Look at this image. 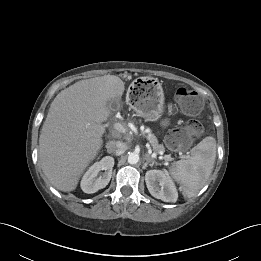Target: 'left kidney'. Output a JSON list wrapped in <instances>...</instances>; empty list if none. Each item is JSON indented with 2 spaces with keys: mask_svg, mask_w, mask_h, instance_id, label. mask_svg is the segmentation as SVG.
<instances>
[{
  "mask_svg": "<svg viewBox=\"0 0 261 261\" xmlns=\"http://www.w3.org/2000/svg\"><path fill=\"white\" fill-rule=\"evenodd\" d=\"M145 182L150 194L164 202H176L178 192L172 178L161 170H149Z\"/></svg>",
  "mask_w": 261,
  "mask_h": 261,
  "instance_id": "left-kidney-1",
  "label": "left kidney"
}]
</instances>
